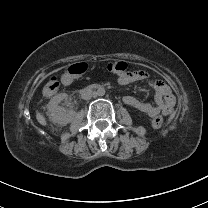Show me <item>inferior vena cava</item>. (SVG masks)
Wrapping results in <instances>:
<instances>
[{"label": "inferior vena cava", "instance_id": "1", "mask_svg": "<svg viewBox=\"0 0 208 208\" xmlns=\"http://www.w3.org/2000/svg\"><path fill=\"white\" fill-rule=\"evenodd\" d=\"M80 95H81L82 99L89 100L93 96V91H92V89L86 87L80 91Z\"/></svg>", "mask_w": 208, "mask_h": 208}]
</instances>
